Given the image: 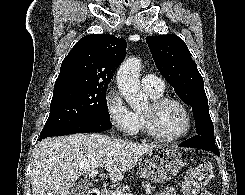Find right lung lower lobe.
Returning <instances> with one entry per match:
<instances>
[{"label": "right lung lower lobe", "mask_w": 245, "mask_h": 195, "mask_svg": "<svg viewBox=\"0 0 245 195\" xmlns=\"http://www.w3.org/2000/svg\"><path fill=\"white\" fill-rule=\"evenodd\" d=\"M112 127V124L110 120L97 118V119H91L79 124H76L74 126H71L67 129H64L62 131H59L51 136H63V135H69L74 133H86V132H99L108 130ZM39 140H42L41 138Z\"/></svg>", "instance_id": "obj_1"}]
</instances>
